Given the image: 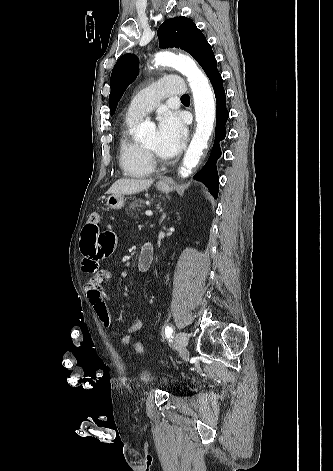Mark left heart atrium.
I'll use <instances>...</instances> for the list:
<instances>
[{
	"label": "left heart atrium",
	"instance_id": "1",
	"mask_svg": "<svg viewBox=\"0 0 333 471\" xmlns=\"http://www.w3.org/2000/svg\"><path fill=\"white\" fill-rule=\"evenodd\" d=\"M158 121L157 152L164 157L175 156L186 139L185 125L180 116L171 111H162Z\"/></svg>",
	"mask_w": 333,
	"mask_h": 471
}]
</instances>
